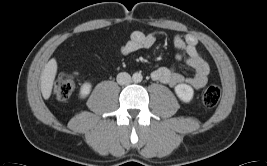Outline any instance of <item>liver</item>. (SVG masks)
I'll return each mask as SVG.
<instances>
[{"mask_svg":"<svg viewBox=\"0 0 267 166\" xmlns=\"http://www.w3.org/2000/svg\"><path fill=\"white\" fill-rule=\"evenodd\" d=\"M57 73V62L55 58L49 60L41 73V93L44 99L51 96L54 79Z\"/></svg>","mask_w":267,"mask_h":166,"instance_id":"obj_1","label":"liver"}]
</instances>
